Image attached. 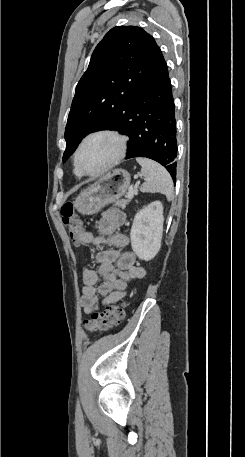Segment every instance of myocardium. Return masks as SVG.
Returning <instances> with one entry per match:
<instances>
[{
	"instance_id": "myocardium-1",
	"label": "myocardium",
	"mask_w": 245,
	"mask_h": 457,
	"mask_svg": "<svg viewBox=\"0 0 245 457\" xmlns=\"http://www.w3.org/2000/svg\"><path fill=\"white\" fill-rule=\"evenodd\" d=\"M96 136H109V137H112L113 139H115V141L117 143L115 146V154H114V157L111 159V161L107 165H105L103 168H101L100 170H97L95 172H88L82 167V165L80 163V157H81V153L85 147L86 142L89 139L96 137ZM126 144H127V141H126L125 137L115 130L100 129V130L93 131V132L89 133L88 135H86L79 145V148L75 155L76 166L82 175L90 176V177L99 176L102 173L113 168L124 157L125 152H126Z\"/></svg>"
}]
</instances>
